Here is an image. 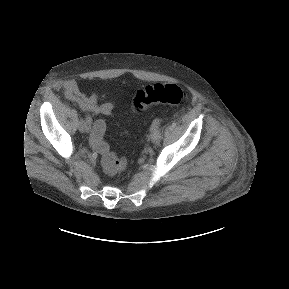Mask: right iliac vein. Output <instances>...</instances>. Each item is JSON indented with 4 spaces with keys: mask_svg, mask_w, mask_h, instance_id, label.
<instances>
[{
    "mask_svg": "<svg viewBox=\"0 0 289 289\" xmlns=\"http://www.w3.org/2000/svg\"><path fill=\"white\" fill-rule=\"evenodd\" d=\"M79 130L81 132H89L90 131V123H88L87 121H80L79 123Z\"/></svg>",
    "mask_w": 289,
    "mask_h": 289,
    "instance_id": "63e3f726",
    "label": "right iliac vein"
}]
</instances>
